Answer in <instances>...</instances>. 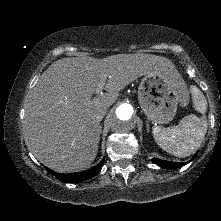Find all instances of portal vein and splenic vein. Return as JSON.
Instances as JSON below:
<instances>
[{"label": "portal vein and splenic vein", "mask_w": 221, "mask_h": 221, "mask_svg": "<svg viewBox=\"0 0 221 221\" xmlns=\"http://www.w3.org/2000/svg\"><path fill=\"white\" fill-rule=\"evenodd\" d=\"M105 80L106 78H103L100 83L98 84L97 88H96V93L99 94L102 92L104 85H105Z\"/></svg>", "instance_id": "obj_1"}]
</instances>
